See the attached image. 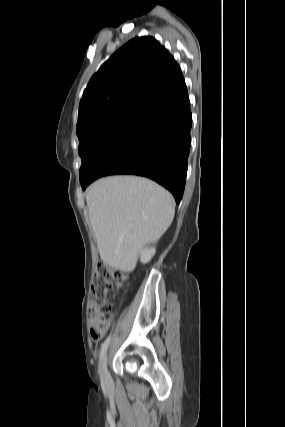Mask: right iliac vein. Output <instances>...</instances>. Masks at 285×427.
I'll return each instance as SVG.
<instances>
[{
	"mask_svg": "<svg viewBox=\"0 0 285 427\" xmlns=\"http://www.w3.org/2000/svg\"><path fill=\"white\" fill-rule=\"evenodd\" d=\"M101 368H102L103 380L106 384H109L110 383V376H109V372L107 369V355H105L103 357Z\"/></svg>",
	"mask_w": 285,
	"mask_h": 427,
	"instance_id": "obj_1",
	"label": "right iliac vein"
}]
</instances>
